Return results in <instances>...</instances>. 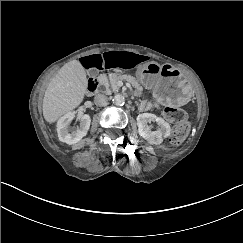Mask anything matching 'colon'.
<instances>
[{"label":"colon","instance_id":"obj_1","mask_svg":"<svg viewBox=\"0 0 243 243\" xmlns=\"http://www.w3.org/2000/svg\"><path fill=\"white\" fill-rule=\"evenodd\" d=\"M164 115L168 121L174 124L170 141L173 144L181 143L186 138L189 131L186 113L180 108L167 107L164 111Z\"/></svg>","mask_w":243,"mask_h":243}]
</instances>
